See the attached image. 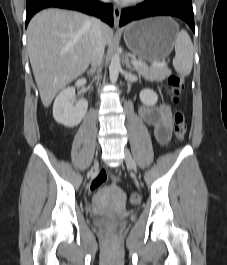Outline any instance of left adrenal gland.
I'll list each match as a JSON object with an SVG mask.
<instances>
[{
	"label": "left adrenal gland",
	"instance_id": "1",
	"mask_svg": "<svg viewBox=\"0 0 227 265\" xmlns=\"http://www.w3.org/2000/svg\"><path fill=\"white\" fill-rule=\"evenodd\" d=\"M124 63H125V65H126V68L127 69H129V70H133V68H132V66H131V64H130V61H129V57H128V55L126 54L125 55V61H124Z\"/></svg>",
	"mask_w": 227,
	"mask_h": 265
}]
</instances>
